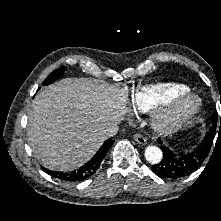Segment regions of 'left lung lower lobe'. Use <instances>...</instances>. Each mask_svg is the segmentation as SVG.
Segmentation results:
<instances>
[{
  "label": "left lung lower lobe",
  "mask_w": 221,
  "mask_h": 221,
  "mask_svg": "<svg viewBox=\"0 0 221 221\" xmlns=\"http://www.w3.org/2000/svg\"><path fill=\"white\" fill-rule=\"evenodd\" d=\"M209 150L196 149L190 153H176L163 149L162 160L152 167V171L163 179H177L190 175L204 161ZM206 154V156H205Z\"/></svg>",
  "instance_id": "0a47b994"
}]
</instances>
